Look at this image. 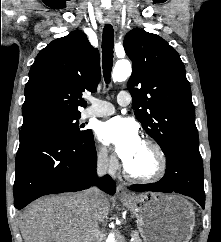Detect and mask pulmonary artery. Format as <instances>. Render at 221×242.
Segmentation results:
<instances>
[{"instance_id":"obj_1","label":"pulmonary artery","mask_w":221,"mask_h":242,"mask_svg":"<svg viewBox=\"0 0 221 242\" xmlns=\"http://www.w3.org/2000/svg\"><path fill=\"white\" fill-rule=\"evenodd\" d=\"M131 98L127 92H120L117 96V102L121 106H127L130 104ZM91 105L85 110L84 117H106L115 112L114 106L106 101L97 99H90Z\"/></svg>"}]
</instances>
